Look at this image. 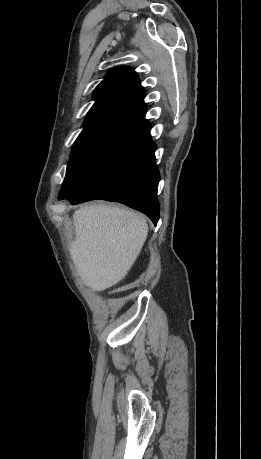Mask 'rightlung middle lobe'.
Here are the masks:
<instances>
[{
    "instance_id": "obj_1",
    "label": "right lung middle lobe",
    "mask_w": 261,
    "mask_h": 459,
    "mask_svg": "<svg viewBox=\"0 0 261 459\" xmlns=\"http://www.w3.org/2000/svg\"><path fill=\"white\" fill-rule=\"evenodd\" d=\"M149 130V126H114L79 136L73 145L58 199L84 194L135 151L149 137Z\"/></svg>"
}]
</instances>
